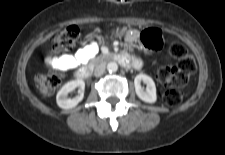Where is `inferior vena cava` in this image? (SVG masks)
<instances>
[{
  "instance_id": "602c4592",
  "label": "inferior vena cava",
  "mask_w": 225,
  "mask_h": 155,
  "mask_svg": "<svg viewBox=\"0 0 225 155\" xmlns=\"http://www.w3.org/2000/svg\"><path fill=\"white\" fill-rule=\"evenodd\" d=\"M105 68H106L105 64H103V63L97 65L94 69V75L96 77L101 76L105 72Z\"/></svg>"
}]
</instances>
